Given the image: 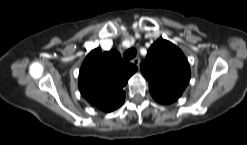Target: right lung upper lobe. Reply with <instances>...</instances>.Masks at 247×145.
Segmentation results:
<instances>
[{"instance_id": "cb5924a9", "label": "right lung upper lobe", "mask_w": 247, "mask_h": 145, "mask_svg": "<svg viewBox=\"0 0 247 145\" xmlns=\"http://www.w3.org/2000/svg\"><path fill=\"white\" fill-rule=\"evenodd\" d=\"M136 71L137 67L125 63L117 50L102 53L100 48H96L82 63L79 90L92 105L111 112L124 103L123 87Z\"/></svg>"}]
</instances>
